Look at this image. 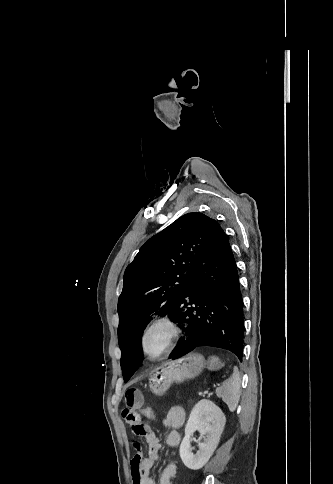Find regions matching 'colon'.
Here are the masks:
<instances>
[{
	"label": "colon",
	"instance_id": "colon-1",
	"mask_svg": "<svg viewBox=\"0 0 333 484\" xmlns=\"http://www.w3.org/2000/svg\"><path fill=\"white\" fill-rule=\"evenodd\" d=\"M142 414L148 420H154L157 417L155 410L148 406L143 407Z\"/></svg>",
	"mask_w": 333,
	"mask_h": 484
}]
</instances>
